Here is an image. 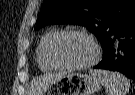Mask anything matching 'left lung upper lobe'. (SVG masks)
I'll list each match as a JSON object with an SVG mask.
<instances>
[{"label":"left lung upper lobe","mask_w":135,"mask_h":95,"mask_svg":"<svg viewBox=\"0 0 135 95\" xmlns=\"http://www.w3.org/2000/svg\"><path fill=\"white\" fill-rule=\"evenodd\" d=\"M135 15V0H44L36 30L48 24L85 26L102 44Z\"/></svg>","instance_id":"1"}]
</instances>
